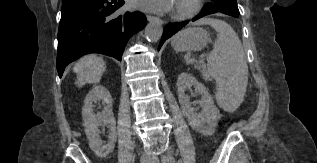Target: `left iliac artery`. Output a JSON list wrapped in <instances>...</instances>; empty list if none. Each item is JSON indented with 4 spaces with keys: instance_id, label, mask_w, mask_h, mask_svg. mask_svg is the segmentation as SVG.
I'll use <instances>...</instances> for the list:
<instances>
[{
    "instance_id": "obj_1",
    "label": "left iliac artery",
    "mask_w": 317,
    "mask_h": 163,
    "mask_svg": "<svg viewBox=\"0 0 317 163\" xmlns=\"http://www.w3.org/2000/svg\"><path fill=\"white\" fill-rule=\"evenodd\" d=\"M169 161H170V160L168 159V157H164V158L162 159V162H163V163H169Z\"/></svg>"
}]
</instances>
